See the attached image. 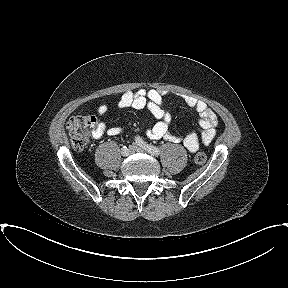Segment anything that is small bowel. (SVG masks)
<instances>
[{"label":"small bowel","mask_w":288,"mask_h":288,"mask_svg":"<svg viewBox=\"0 0 288 288\" xmlns=\"http://www.w3.org/2000/svg\"><path fill=\"white\" fill-rule=\"evenodd\" d=\"M163 96L164 92L158 89L142 88L137 91H126L118 100L116 107L118 109H147L157 119V122L146 131V136L150 139H165L173 143L182 142L191 153L197 151L200 141L204 145H209L214 140L218 120L214 111L206 103L190 95L182 96L183 101L198 113L201 131L200 135L195 131H190L185 136H178L169 130L172 116L163 108ZM97 113L100 117H107L109 107L102 104L98 107ZM121 133L120 127H107L105 123L100 122L94 129L92 136L100 138L105 134L118 136Z\"/></svg>","instance_id":"c3829d8e"}]
</instances>
